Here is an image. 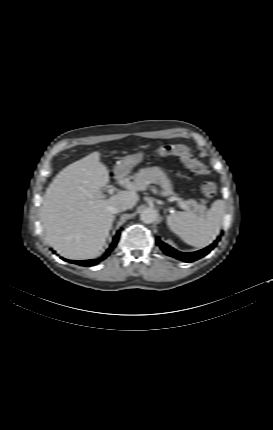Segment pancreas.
Instances as JSON below:
<instances>
[{
    "instance_id": "obj_1",
    "label": "pancreas",
    "mask_w": 273,
    "mask_h": 430,
    "mask_svg": "<svg viewBox=\"0 0 273 430\" xmlns=\"http://www.w3.org/2000/svg\"><path fill=\"white\" fill-rule=\"evenodd\" d=\"M135 183L138 185L139 190H146L150 183L158 184L162 187V195L169 196L175 195L172 190V185L167 178L166 173L159 167H150L140 170L134 176ZM188 204L194 206L195 209L203 211V207L199 206L196 201L190 200ZM187 209H190L188 206Z\"/></svg>"
}]
</instances>
